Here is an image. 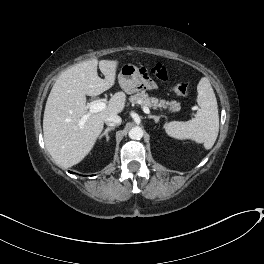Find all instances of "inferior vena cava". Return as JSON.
Returning <instances> with one entry per match:
<instances>
[{
    "label": "inferior vena cava",
    "mask_w": 264,
    "mask_h": 264,
    "mask_svg": "<svg viewBox=\"0 0 264 264\" xmlns=\"http://www.w3.org/2000/svg\"><path fill=\"white\" fill-rule=\"evenodd\" d=\"M121 122H122V119L118 115H112L105 119L106 125L110 127L119 126Z\"/></svg>",
    "instance_id": "1"
}]
</instances>
